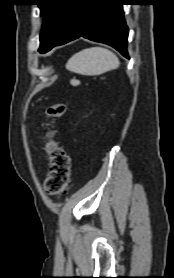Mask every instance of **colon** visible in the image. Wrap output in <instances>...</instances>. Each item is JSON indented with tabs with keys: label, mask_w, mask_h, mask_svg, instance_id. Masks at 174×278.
I'll list each match as a JSON object with an SVG mask.
<instances>
[{
	"label": "colon",
	"mask_w": 174,
	"mask_h": 278,
	"mask_svg": "<svg viewBox=\"0 0 174 278\" xmlns=\"http://www.w3.org/2000/svg\"><path fill=\"white\" fill-rule=\"evenodd\" d=\"M66 112L63 103L52 104L47 107L46 114L49 118H60ZM47 142L45 150L49 160V172L44 182L45 190L50 195L65 194L70 186L71 157L60 145L54 130L46 133Z\"/></svg>",
	"instance_id": "5ec220e1"
}]
</instances>
